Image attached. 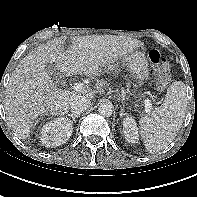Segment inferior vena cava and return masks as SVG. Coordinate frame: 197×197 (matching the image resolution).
Segmentation results:
<instances>
[{"instance_id": "1", "label": "inferior vena cava", "mask_w": 197, "mask_h": 197, "mask_svg": "<svg viewBox=\"0 0 197 197\" xmlns=\"http://www.w3.org/2000/svg\"><path fill=\"white\" fill-rule=\"evenodd\" d=\"M90 106L91 101L84 96H78L70 103L71 111L76 115L83 113Z\"/></svg>"}]
</instances>
